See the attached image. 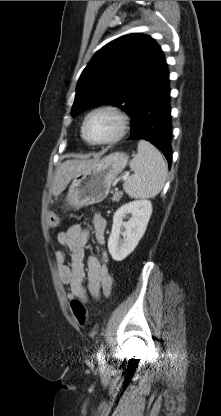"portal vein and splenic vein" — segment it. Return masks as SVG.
Instances as JSON below:
<instances>
[{"label": "portal vein and splenic vein", "instance_id": "obj_1", "mask_svg": "<svg viewBox=\"0 0 221 416\" xmlns=\"http://www.w3.org/2000/svg\"><path fill=\"white\" fill-rule=\"evenodd\" d=\"M127 177H128V175H124L122 178H123V179H126Z\"/></svg>", "mask_w": 221, "mask_h": 416}]
</instances>
